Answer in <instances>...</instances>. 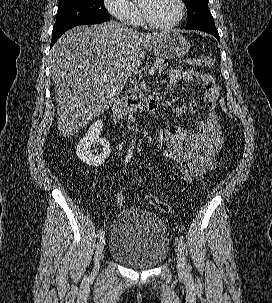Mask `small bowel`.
Segmentation results:
<instances>
[{
  "label": "small bowel",
  "mask_w": 272,
  "mask_h": 303,
  "mask_svg": "<svg viewBox=\"0 0 272 303\" xmlns=\"http://www.w3.org/2000/svg\"><path fill=\"white\" fill-rule=\"evenodd\" d=\"M169 78L172 87L195 82L203 91L201 101L193 100L188 104L195 129L181 124L169 126L162 149L165 158L177 163L171 177L192 183L215 168V155L224 144L220 119L215 111L220 89L211 75L193 70L172 69ZM201 106L206 109L203 114L200 113Z\"/></svg>",
  "instance_id": "c3829d8e"
}]
</instances>
